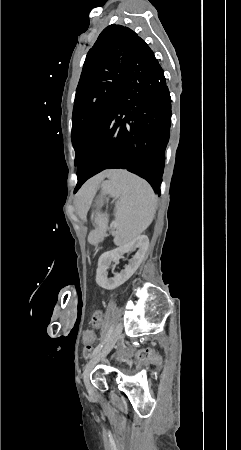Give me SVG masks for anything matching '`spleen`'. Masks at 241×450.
Here are the masks:
<instances>
[{
    "mask_svg": "<svg viewBox=\"0 0 241 450\" xmlns=\"http://www.w3.org/2000/svg\"><path fill=\"white\" fill-rule=\"evenodd\" d=\"M107 178L108 180L101 186L103 194H110L111 198H120L116 212L118 228L114 244L124 246L147 230L153 222L156 196L146 180L130 174L127 170H110ZM105 223L110 225L112 220L107 218ZM91 232L88 239L90 244L97 241L96 232L100 238L105 236L100 229L98 231L93 229Z\"/></svg>",
    "mask_w": 241,
    "mask_h": 450,
    "instance_id": "3e777b00",
    "label": "spleen"
}]
</instances>
